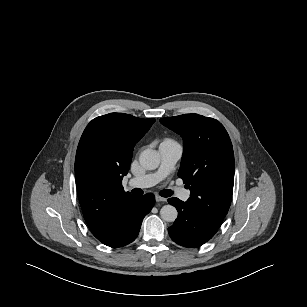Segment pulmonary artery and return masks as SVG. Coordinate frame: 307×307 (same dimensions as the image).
<instances>
[{
  "label": "pulmonary artery",
  "mask_w": 307,
  "mask_h": 307,
  "mask_svg": "<svg viewBox=\"0 0 307 307\" xmlns=\"http://www.w3.org/2000/svg\"><path fill=\"white\" fill-rule=\"evenodd\" d=\"M158 152L160 155V166L158 170L154 173L131 178L128 182L129 186L148 188L160 182L173 171L177 161L182 156L183 148L178 142L165 140L160 144ZM178 196L183 201H187L190 197V191L179 190Z\"/></svg>",
  "instance_id": "1"
}]
</instances>
